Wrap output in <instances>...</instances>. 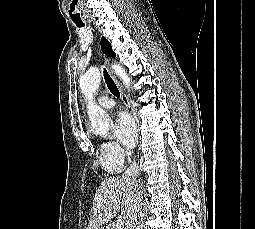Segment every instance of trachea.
Wrapping results in <instances>:
<instances>
[{"label": "trachea", "instance_id": "3493384b", "mask_svg": "<svg viewBox=\"0 0 255 229\" xmlns=\"http://www.w3.org/2000/svg\"><path fill=\"white\" fill-rule=\"evenodd\" d=\"M78 27H84L83 23H77L76 24ZM104 74V79L106 81V84L109 88V90L111 91V93L116 96V97H120V92L115 84V82L113 81V79L110 77V75L108 74L107 70L104 69L103 71Z\"/></svg>", "mask_w": 255, "mask_h": 229}]
</instances>
